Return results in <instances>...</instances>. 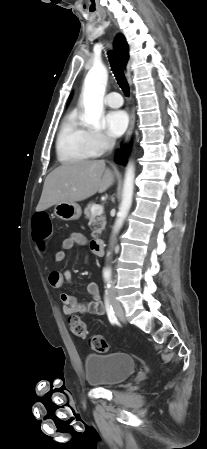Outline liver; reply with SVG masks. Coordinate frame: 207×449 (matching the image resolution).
Wrapping results in <instances>:
<instances>
[{
  "mask_svg": "<svg viewBox=\"0 0 207 449\" xmlns=\"http://www.w3.org/2000/svg\"><path fill=\"white\" fill-rule=\"evenodd\" d=\"M113 183L114 174L103 160L65 163L46 177L36 211L59 203L83 201L106 191Z\"/></svg>",
  "mask_w": 207,
  "mask_h": 449,
  "instance_id": "liver-1",
  "label": "liver"
}]
</instances>
